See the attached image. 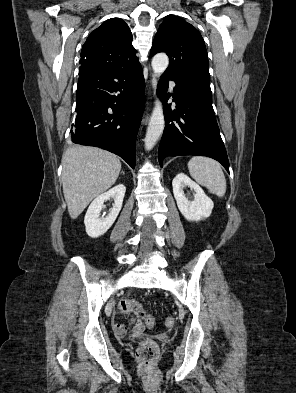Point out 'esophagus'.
I'll list each match as a JSON object with an SVG mask.
<instances>
[{"mask_svg":"<svg viewBox=\"0 0 296 393\" xmlns=\"http://www.w3.org/2000/svg\"><path fill=\"white\" fill-rule=\"evenodd\" d=\"M156 84H157L156 75H155V74H152V75H151V85H152V88H153V89L156 88Z\"/></svg>","mask_w":296,"mask_h":393,"instance_id":"1","label":"esophagus"}]
</instances>
